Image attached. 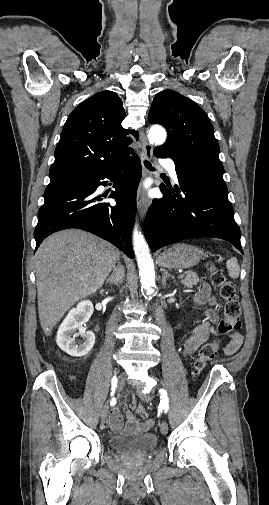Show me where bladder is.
I'll return each instance as SVG.
<instances>
[{"label": "bladder", "mask_w": 269, "mask_h": 505, "mask_svg": "<svg viewBox=\"0 0 269 505\" xmlns=\"http://www.w3.org/2000/svg\"><path fill=\"white\" fill-rule=\"evenodd\" d=\"M110 447L125 455H147L156 449L158 439L153 434H143L133 437L113 436L109 439Z\"/></svg>", "instance_id": "31cf9c89"}]
</instances>
